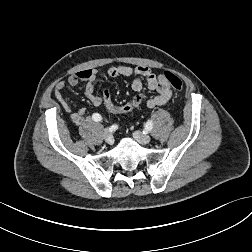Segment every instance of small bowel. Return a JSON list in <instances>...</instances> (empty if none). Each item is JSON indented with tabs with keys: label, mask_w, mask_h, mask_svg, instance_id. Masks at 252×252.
<instances>
[{
	"label": "small bowel",
	"mask_w": 252,
	"mask_h": 252,
	"mask_svg": "<svg viewBox=\"0 0 252 252\" xmlns=\"http://www.w3.org/2000/svg\"><path fill=\"white\" fill-rule=\"evenodd\" d=\"M106 73L112 78L132 77L131 87L136 94L141 91L143 87L142 80L145 79L148 88L155 91V95L146 100L145 105L148 109L166 105L172 96V90L166 80L149 67L111 66L107 69ZM97 75L98 73L95 69L81 70L70 75L66 81L59 82L54 89L55 99L66 111L71 113V121L77 126L83 123L86 110L85 108H80L73 111L62 92L66 85L74 87L80 81H84L86 82L84 93L87 99L92 105L96 107L101 106V97L95 93L94 89Z\"/></svg>",
	"instance_id": "1"
}]
</instances>
